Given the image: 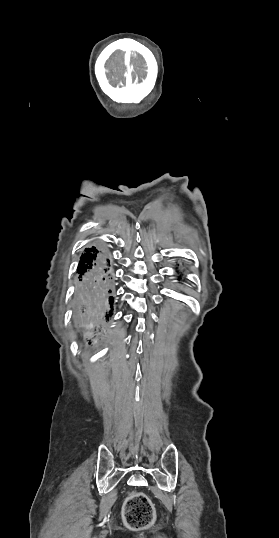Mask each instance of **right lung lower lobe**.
Masks as SVG:
<instances>
[{
    "label": "right lung lower lobe",
    "mask_w": 279,
    "mask_h": 538,
    "mask_svg": "<svg viewBox=\"0 0 279 538\" xmlns=\"http://www.w3.org/2000/svg\"><path fill=\"white\" fill-rule=\"evenodd\" d=\"M74 323L99 330L113 315L116 279L110 249L99 243L85 249L77 269Z\"/></svg>",
    "instance_id": "right-lung-lower-lobe-1"
}]
</instances>
